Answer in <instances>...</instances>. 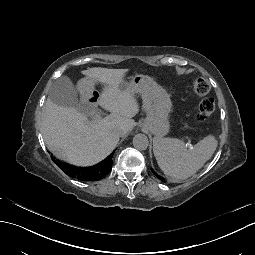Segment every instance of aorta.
I'll return each mask as SVG.
<instances>
[{"mask_svg":"<svg viewBox=\"0 0 255 255\" xmlns=\"http://www.w3.org/2000/svg\"><path fill=\"white\" fill-rule=\"evenodd\" d=\"M149 145L148 137L145 134H136L133 138V146L137 150H146Z\"/></svg>","mask_w":255,"mask_h":255,"instance_id":"aorta-1","label":"aorta"}]
</instances>
